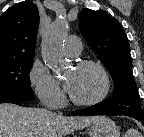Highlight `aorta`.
Instances as JSON below:
<instances>
[{
	"label": "aorta",
	"instance_id": "1",
	"mask_svg": "<svg viewBox=\"0 0 144 137\" xmlns=\"http://www.w3.org/2000/svg\"><path fill=\"white\" fill-rule=\"evenodd\" d=\"M69 24L64 18H57L42 39V58L44 63L54 71H58L66 64L63 51L64 39Z\"/></svg>",
	"mask_w": 144,
	"mask_h": 137
}]
</instances>
